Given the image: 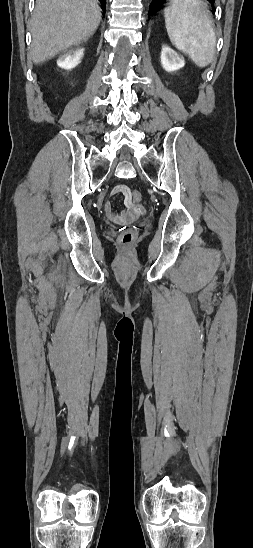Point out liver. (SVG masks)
Listing matches in <instances>:
<instances>
[{"label":"liver","mask_w":253,"mask_h":548,"mask_svg":"<svg viewBox=\"0 0 253 548\" xmlns=\"http://www.w3.org/2000/svg\"><path fill=\"white\" fill-rule=\"evenodd\" d=\"M97 0H36L31 20L30 56L43 63L86 41L97 30L101 9Z\"/></svg>","instance_id":"6515ba94"}]
</instances>
